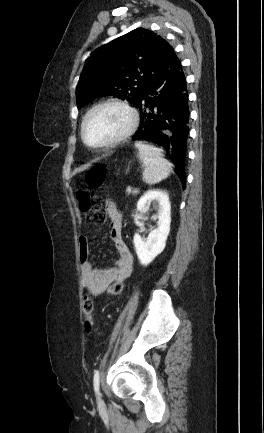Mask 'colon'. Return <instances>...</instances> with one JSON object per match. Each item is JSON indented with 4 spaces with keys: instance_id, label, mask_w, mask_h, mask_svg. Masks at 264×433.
Instances as JSON below:
<instances>
[{
    "instance_id": "obj_1",
    "label": "colon",
    "mask_w": 264,
    "mask_h": 433,
    "mask_svg": "<svg viewBox=\"0 0 264 433\" xmlns=\"http://www.w3.org/2000/svg\"><path fill=\"white\" fill-rule=\"evenodd\" d=\"M107 169L105 165H96L92 167L86 174L87 184L92 188H98L103 185L106 179ZM77 198L80 209L85 215V219L89 224L97 225L101 224L106 219V214L102 210L101 199L86 191L79 190L77 192ZM124 289L123 282H114L108 288V293L112 296H116L122 293ZM93 300L89 293H86L83 301V310L85 313V321L93 328Z\"/></svg>"
}]
</instances>
